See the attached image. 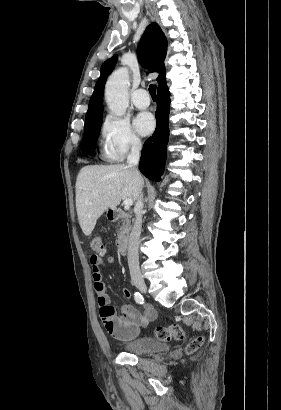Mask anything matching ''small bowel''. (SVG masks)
<instances>
[{
    "mask_svg": "<svg viewBox=\"0 0 281 410\" xmlns=\"http://www.w3.org/2000/svg\"><path fill=\"white\" fill-rule=\"evenodd\" d=\"M103 260L97 255L91 256L92 278L94 290L97 296V304L100 308L101 318L104 323L111 321L112 328L108 330L111 336L117 340L131 341L135 339L141 327L147 326L156 318V312L152 307L147 306L144 312L132 305L122 306V315L116 316L114 308L110 305V298L107 294L105 284L102 281L101 265ZM125 298L131 297V291L127 288L122 290ZM103 310H112L113 316L107 318L103 315Z\"/></svg>",
    "mask_w": 281,
    "mask_h": 410,
    "instance_id": "small-bowel-1",
    "label": "small bowel"
}]
</instances>
